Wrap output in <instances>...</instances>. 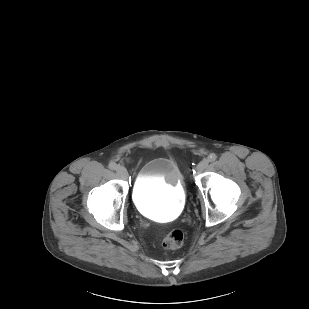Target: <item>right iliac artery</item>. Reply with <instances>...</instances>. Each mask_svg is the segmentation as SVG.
<instances>
[{
    "mask_svg": "<svg viewBox=\"0 0 309 309\" xmlns=\"http://www.w3.org/2000/svg\"><path fill=\"white\" fill-rule=\"evenodd\" d=\"M108 167L111 169V170H116L117 169V164L115 162H110L108 164Z\"/></svg>",
    "mask_w": 309,
    "mask_h": 309,
    "instance_id": "obj_1",
    "label": "right iliac artery"
}]
</instances>
